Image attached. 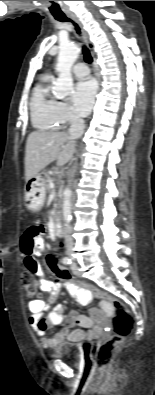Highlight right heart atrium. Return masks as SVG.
Masks as SVG:
<instances>
[{
    "label": "right heart atrium",
    "mask_w": 155,
    "mask_h": 395,
    "mask_svg": "<svg viewBox=\"0 0 155 395\" xmlns=\"http://www.w3.org/2000/svg\"><path fill=\"white\" fill-rule=\"evenodd\" d=\"M57 117L61 126L73 123L78 120L77 115L66 102H58Z\"/></svg>",
    "instance_id": "obj_1"
}]
</instances>
